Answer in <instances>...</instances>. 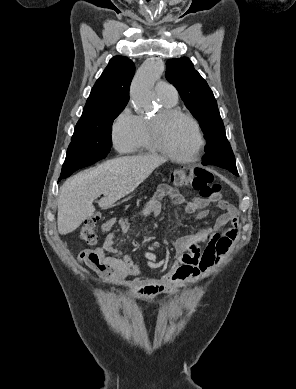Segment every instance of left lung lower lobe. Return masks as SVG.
<instances>
[{
    "mask_svg": "<svg viewBox=\"0 0 296 389\" xmlns=\"http://www.w3.org/2000/svg\"><path fill=\"white\" fill-rule=\"evenodd\" d=\"M203 165H216L238 176L235 158L231 146L224 135L203 157Z\"/></svg>",
    "mask_w": 296,
    "mask_h": 389,
    "instance_id": "0a47b994",
    "label": "left lung lower lobe"
}]
</instances>
